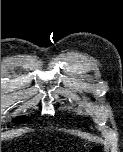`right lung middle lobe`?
Returning <instances> with one entry per match:
<instances>
[{
  "instance_id": "dd1d6c3e",
  "label": "right lung middle lobe",
  "mask_w": 123,
  "mask_h": 152,
  "mask_svg": "<svg viewBox=\"0 0 123 152\" xmlns=\"http://www.w3.org/2000/svg\"><path fill=\"white\" fill-rule=\"evenodd\" d=\"M28 119L25 118V117H18L16 119H14V122H17V123H25Z\"/></svg>"
}]
</instances>
